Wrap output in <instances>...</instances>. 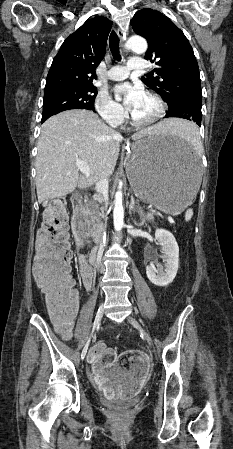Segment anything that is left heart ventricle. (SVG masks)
<instances>
[{
    "label": "left heart ventricle",
    "instance_id": "b2bd125f",
    "mask_svg": "<svg viewBox=\"0 0 233 449\" xmlns=\"http://www.w3.org/2000/svg\"><path fill=\"white\" fill-rule=\"evenodd\" d=\"M157 104L150 97L146 96L142 99L133 115L139 120H148L157 113Z\"/></svg>",
    "mask_w": 233,
    "mask_h": 449
}]
</instances>
